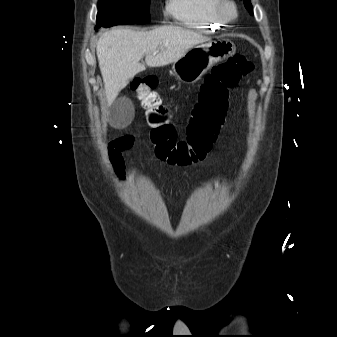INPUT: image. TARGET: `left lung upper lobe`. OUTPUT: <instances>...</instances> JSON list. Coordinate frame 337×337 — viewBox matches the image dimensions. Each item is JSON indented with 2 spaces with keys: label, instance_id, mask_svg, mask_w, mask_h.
I'll use <instances>...</instances> for the list:
<instances>
[{
  "label": "left lung upper lobe",
  "instance_id": "1",
  "mask_svg": "<svg viewBox=\"0 0 337 337\" xmlns=\"http://www.w3.org/2000/svg\"><path fill=\"white\" fill-rule=\"evenodd\" d=\"M244 5L246 9L252 14V5H251L250 0H244Z\"/></svg>",
  "mask_w": 337,
  "mask_h": 337
}]
</instances>
